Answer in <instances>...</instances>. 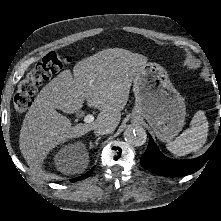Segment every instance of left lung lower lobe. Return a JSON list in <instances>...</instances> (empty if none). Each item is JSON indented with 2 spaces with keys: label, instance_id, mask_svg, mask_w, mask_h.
Here are the masks:
<instances>
[{
  "label": "left lung lower lobe",
  "instance_id": "1",
  "mask_svg": "<svg viewBox=\"0 0 221 221\" xmlns=\"http://www.w3.org/2000/svg\"><path fill=\"white\" fill-rule=\"evenodd\" d=\"M218 144L221 145V124L217 139L205 154L195 159L173 160L164 156L159 151L157 145L150 136L147 150L141 157V165L146 170L161 176L179 177L188 175L199 170L207 162Z\"/></svg>",
  "mask_w": 221,
  "mask_h": 221
}]
</instances>
